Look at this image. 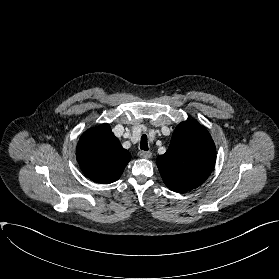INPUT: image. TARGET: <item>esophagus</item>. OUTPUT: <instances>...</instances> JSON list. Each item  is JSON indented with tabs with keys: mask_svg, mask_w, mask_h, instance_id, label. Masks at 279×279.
Segmentation results:
<instances>
[{
	"mask_svg": "<svg viewBox=\"0 0 279 279\" xmlns=\"http://www.w3.org/2000/svg\"><path fill=\"white\" fill-rule=\"evenodd\" d=\"M138 154L141 158H144V159H149L152 156L151 152H146V151H140Z\"/></svg>",
	"mask_w": 279,
	"mask_h": 279,
	"instance_id": "1",
	"label": "esophagus"
}]
</instances>
